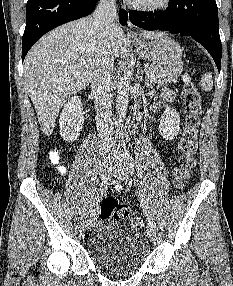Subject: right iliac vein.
<instances>
[{"label": "right iliac vein", "mask_w": 233, "mask_h": 286, "mask_svg": "<svg viewBox=\"0 0 233 286\" xmlns=\"http://www.w3.org/2000/svg\"><path fill=\"white\" fill-rule=\"evenodd\" d=\"M111 172H112V163H111L110 159L103 160V162L101 163V166H100L101 178L102 179L108 178L109 175L111 174ZM96 220H97V216H96V212L94 211L90 215V218H89V221L87 224L88 229L92 228V226L95 224Z\"/></svg>", "instance_id": "1"}]
</instances>
